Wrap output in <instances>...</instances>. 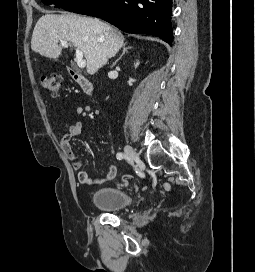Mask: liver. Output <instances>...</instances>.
Listing matches in <instances>:
<instances>
[{
    "label": "liver",
    "instance_id": "liver-1",
    "mask_svg": "<svg viewBox=\"0 0 255 272\" xmlns=\"http://www.w3.org/2000/svg\"><path fill=\"white\" fill-rule=\"evenodd\" d=\"M60 40L72 43L83 52L86 70L93 75L116 55L124 37L118 29L96 18L46 14L35 25L31 49L44 57L56 59L62 52L58 45Z\"/></svg>",
    "mask_w": 255,
    "mask_h": 272
}]
</instances>
